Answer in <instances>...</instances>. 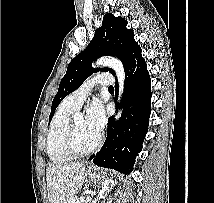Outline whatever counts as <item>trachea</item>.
I'll use <instances>...</instances> for the list:
<instances>
[{"label":"trachea","instance_id":"trachea-1","mask_svg":"<svg viewBox=\"0 0 214 203\" xmlns=\"http://www.w3.org/2000/svg\"><path fill=\"white\" fill-rule=\"evenodd\" d=\"M109 89H113V86H109Z\"/></svg>","mask_w":214,"mask_h":203}]
</instances>
